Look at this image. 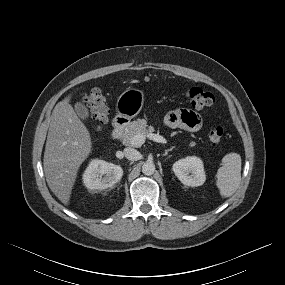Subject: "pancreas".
<instances>
[{"label":"pancreas","mask_w":285,"mask_h":285,"mask_svg":"<svg viewBox=\"0 0 285 285\" xmlns=\"http://www.w3.org/2000/svg\"><path fill=\"white\" fill-rule=\"evenodd\" d=\"M154 132L153 126H148L147 121L145 119H137L136 121L130 122L125 128L124 132L121 135V139L123 144L132 145L131 138L137 134L148 135ZM195 145L194 142L190 143V146L193 147Z\"/></svg>","instance_id":"cf45deb5"}]
</instances>
